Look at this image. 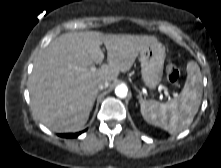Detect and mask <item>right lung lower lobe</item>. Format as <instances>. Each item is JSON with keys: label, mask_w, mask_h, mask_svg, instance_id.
<instances>
[{"label": "right lung lower lobe", "mask_w": 221, "mask_h": 168, "mask_svg": "<svg viewBox=\"0 0 221 168\" xmlns=\"http://www.w3.org/2000/svg\"><path fill=\"white\" fill-rule=\"evenodd\" d=\"M81 134V132H79V133H69V134H61L60 136H62V137H66V138H73V137H77L78 135H80Z\"/></svg>", "instance_id": "obj_1"}]
</instances>
